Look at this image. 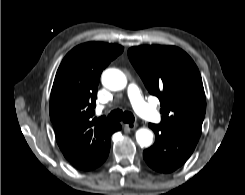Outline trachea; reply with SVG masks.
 I'll return each instance as SVG.
<instances>
[{"label": "trachea", "mask_w": 245, "mask_h": 195, "mask_svg": "<svg viewBox=\"0 0 245 195\" xmlns=\"http://www.w3.org/2000/svg\"><path fill=\"white\" fill-rule=\"evenodd\" d=\"M108 118L113 121H121L125 123H133L135 118L134 115L131 112L125 111L123 112L120 109L112 111L109 115Z\"/></svg>", "instance_id": "trachea-1"}]
</instances>
